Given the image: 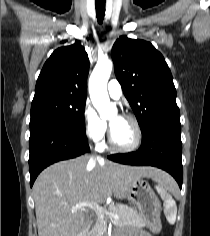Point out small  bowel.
<instances>
[{"instance_id": "obj_1", "label": "small bowel", "mask_w": 210, "mask_h": 236, "mask_svg": "<svg viewBox=\"0 0 210 236\" xmlns=\"http://www.w3.org/2000/svg\"><path fill=\"white\" fill-rule=\"evenodd\" d=\"M116 236H150L145 232H122L119 231Z\"/></svg>"}]
</instances>
